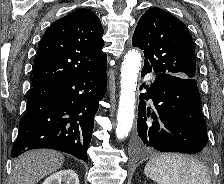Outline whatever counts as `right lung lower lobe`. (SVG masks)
I'll return each mask as SVG.
<instances>
[{
    "label": "right lung lower lobe",
    "instance_id": "98d812e1",
    "mask_svg": "<svg viewBox=\"0 0 224 184\" xmlns=\"http://www.w3.org/2000/svg\"><path fill=\"white\" fill-rule=\"evenodd\" d=\"M106 90V65L86 75L33 86L12 157L31 149L49 148L88 163L94 116Z\"/></svg>",
    "mask_w": 224,
    "mask_h": 184
}]
</instances>
